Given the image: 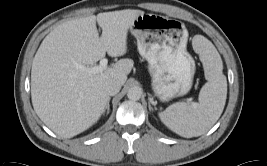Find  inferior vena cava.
Returning <instances> with one entry per match:
<instances>
[{
  "label": "inferior vena cava",
  "instance_id": "602c4592",
  "mask_svg": "<svg viewBox=\"0 0 267 166\" xmlns=\"http://www.w3.org/2000/svg\"><path fill=\"white\" fill-rule=\"evenodd\" d=\"M122 84L117 80H108L105 84V91L108 95L113 96L116 95L120 89Z\"/></svg>",
  "mask_w": 267,
  "mask_h": 166
}]
</instances>
